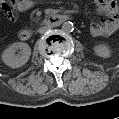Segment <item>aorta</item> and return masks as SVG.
<instances>
[{
	"mask_svg": "<svg viewBox=\"0 0 119 119\" xmlns=\"http://www.w3.org/2000/svg\"><path fill=\"white\" fill-rule=\"evenodd\" d=\"M73 29H74V25H73V23L70 22V21L64 22V23L62 24V30H63L64 32H66V33L72 32Z\"/></svg>",
	"mask_w": 119,
	"mask_h": 119,
	"instance_id": "obj_1",
	"label": "aorta"
}]
</instances>
